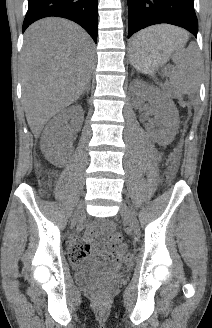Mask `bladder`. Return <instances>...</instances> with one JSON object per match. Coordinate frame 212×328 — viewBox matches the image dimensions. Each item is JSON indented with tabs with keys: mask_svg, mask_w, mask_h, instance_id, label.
<instances>
[{
	"mask_svg": "<svg viewBox=\"0 0 212 328\" xmlns=\"http://www.w3.org/2000/svg\"><path fill=\"white\" fill-rule=\"evenodd\" d=\"M109 275L95 269L94 264L85 261L79 265V270L75 273V279L80 283H92Z\"/></svg>",
	"mask_w": 212,
	"mask_h": 328,
	"instance_id": "obj_1",
	"label": "bladder"
}]
</instances>
